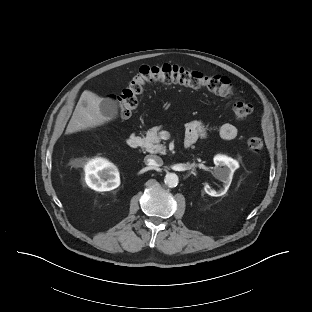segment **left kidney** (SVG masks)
I'll return each mask as SVG.
<instances>
[{
	"label": "left kidney",
	"mask_w": 312,
	"mask_h": 312,
	"mask_svg": "<svg viewBox=\"0 0 312 312\" xmlns=\"http://www.w3.org/2000/svg\"><path fill=\"white\" fill-rule=\"evenodd\" d=\"M213 160L215 164L214 175L218 180L223 182L224 189L215 191L206 184L204 190L208 195L218 197L227 192L232 181L233 173L239 168V164L236 160L225 155H216Z\"/></svg>",
	"instance_id": "1"
}]
</instances>
